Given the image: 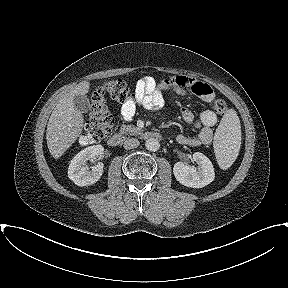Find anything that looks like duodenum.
I'll return each instance as SVG.
<instances>
[{"label":"duodenum","instance_id":"obj_1","mask_svg":"<svg viewBox=\"0 0 288 288\" xmlns=\"http://www.w3.org/2000/svg\"><path fill=\"white\" fill-rule=\"evenodd\" d=\"M140 136L144 139H160L161 134L156 131H142L140 132ZM125 137L122 134H114L108 139V145L111 147L120 146Z\"/></svg>","mask_w":288,"mask_h":288}]
</instances>
